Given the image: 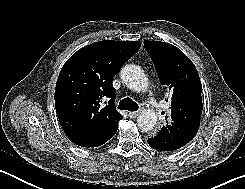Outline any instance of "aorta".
Here are the masks:
<instances>
[{
  "label": "aorta",
  "mask_w": 245,
  "mask_h": 189,
  "mask_svg": "<svg viewBox=\"0 0 245 189\" xmlns=\"http://www.w3.org/2000/svg\"><path fill=\"white\" fill-rule=\"evenodd\" d=\"M123 84L128 88L144 92L148 89V79L144 71L135 64L125 65L120 72ZM138 127L142 132L152 131L157 123V117L152 110H143L137 118Z\"/></svg>",
  "instance_id": "obj_1"
}]
</instances>
